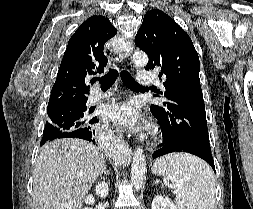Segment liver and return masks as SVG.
Masks as SVG:
<instances>
[{
  "label": "liver",
  "mask_w": 253,
  "mask_h": 209,
  "mask_svg": "<svg viewBox=\"0 0 253 209\" xmlns=\"http://www.w3.org/2000/svg\"><path fill=\"white\" fill-rule=\"evenodd\" d=\"M105 167L103 154L85 140L45 144L34 167L35 209H81L84 196Z\"/></svg>",
  "instance_id": "liver-1"
}]
</instances>
